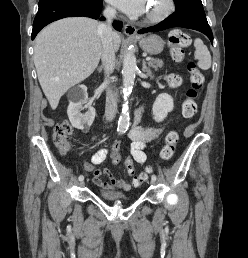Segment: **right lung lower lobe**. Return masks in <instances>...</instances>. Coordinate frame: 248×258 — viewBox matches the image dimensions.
<instances>
[{"mask_svg": "<svg viewBox=\"0 0 248 258\" xmlns=\"http://www.w3.org/2000/svg\"><path fill=\"white\" fill-rule=\"evenodd\" d=\"M102 9V0H41L38 13L33 22L32 40L49 23L65 17L86 16L98 19ZM104 20V17H100ZM114 28H122L121 22H115Z\"/></svg>", "mask_w": 248, "mask_h": 258, "instance_id": "obj_1", "label": "right lung lower lobe"}]
</instances>
